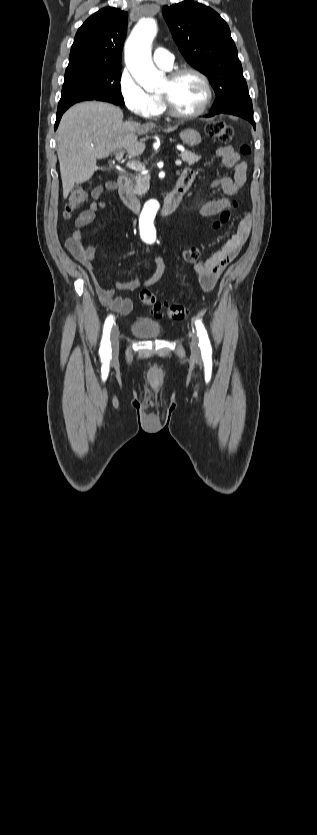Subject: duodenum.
Segmentation results:
<instances>
[{"instance_id": "410a0bca", "label": "duodenum", "mask_w": 317, "mask_h": 835, "mask_svg": "<svg viewBox=\"0 0 317 835\" xmlns=\"http://www.w3.org/2000/svg\"><path fill=\"white\" fill-rule=\"evenodd\" d=\"M114 188L118 189L122 202L132 211L138 212L141 208V201L130 192L129 180L126 175H120L116 182H112ZM189 186L181 179L177 182L174 189L166 196L162 203V214L173 213L180 205Z\"/></svg>"}]
</instances>
